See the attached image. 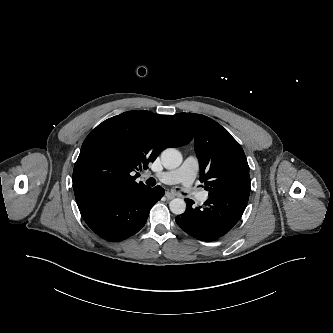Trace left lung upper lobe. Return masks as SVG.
Masks as SVG:
<instances>
[{
    "mask_svg": "<svg viewBox=\"0 0 333 333\" xmlns=\"http://www.w3.org/2000/svg\"><path fill=\"white\" fill-rule=\"evenodd\" d=\"M177 116L194 133L200 180L206 190L227 179L249 174L243 149L226 129L204 115L179 113Z\"/></svg>",
    "mask_w": 333,
    "mask_h": 333,
    "instance_id": "1",
    "label": "left lung upper lobe"
}]
</instances>
